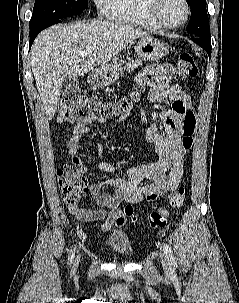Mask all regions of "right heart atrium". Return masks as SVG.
Here are the masks:
<instances>
[{"label":"right heart atrium","mask_w":239,"mask_h":303,"mask_svg":"<svg viewBox=\"0 0 239 303\" xmlns=\"http://www.w3.org/2000/svg\"><path fill=\"white\" fill-rule=\"evenodd\" d=\"M94 2L100 13L104 15L111 13L114 0H94Z\"/></svg>","instance_id":"1"}]
</instances>
